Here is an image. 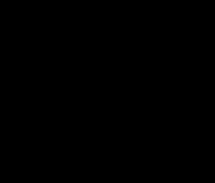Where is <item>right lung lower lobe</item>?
Segmentation results:
<instances>
[{"label": "right lung lower lobe", "mask_w": 215, "mask_h": 183, "mask_svg": "<svg viewBox=\"0 0 215 183\" xmlns=\"http://www.w3.org/2000/svg\"><path fill=\"white\" fill-rule=\"evenodd\" d=\"M22 79L21 104L30 127L41 137L68 140L81 136L89 125V108L101 100L118 105L120 94L111 90L94 97L83 84L70 81L66 72L46 71L36 59H28Z\"/></svg>", "instance_id": "1"}]
</instances>
